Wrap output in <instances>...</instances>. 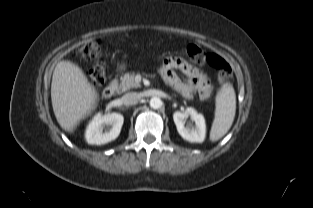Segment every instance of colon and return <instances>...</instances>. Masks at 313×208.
<instances>
[{
    "mask_svg": "<svg viewBox=\"0 0 313 208\" xmlns=\"http://www.w3.org/2000/svg\"><path fill=\"white\" fill-rule=\"evenodd\" d=\"M77 55L83 60H92L99 55V44L90 41L81 45L77 50ZM188 57L197 64L207 62L216 69L217 77L220 82H227L232 77L231 66L216 54H206L197 45L191 44L187 47ZM89 78L94 85H101L105 80V71L101 65L93 67L89 71Z\"/></svg>",
    "mask_w": 313,
    "mask_h": 208,
    "instance_id": "obj_1",
    "label": "colon"
}]
</instances>
